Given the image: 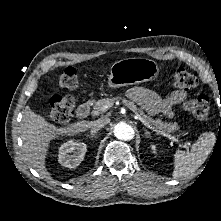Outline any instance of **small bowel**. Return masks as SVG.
<instances>
[{"label": "small bowel", "mask_w": 221, "mask_h": 221, "mask_svg": "<svg viewBox=\"0 0 221 221\" xmlns=\"http://www.w3.org/2000/svg\"><path fill=\"white\" fill-rule=\"evenodd\" d=\"M127 96L147 113L151 115L162 113L167 117L173 116L174 105L183 104L187 99L186 91L175 90L165 99H160L154 91L140 86L129 89Z\"/></svg>", "instance_id": "obj_1"}]
</instances>
